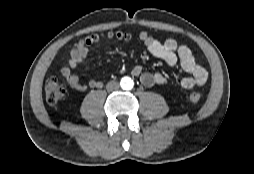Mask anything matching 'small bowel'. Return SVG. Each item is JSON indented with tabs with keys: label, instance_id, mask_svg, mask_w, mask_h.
Returning a JSON list of instances; mask_svg holds the SVG:
<instances>
[{
	"label": "small bowel",
	"instance_id": "1",
	"mask_svg": "<svg viewBox=\"0 0 254 174\" xmlns=\"http://www.w3.org/2000/svg\"><path fill=\"white\" fill-rule=\"evenodd\" d=\"M139 39L146 46L148 51L156 58H159L169 66L179 63L181 69L187 74L179 81V85L183 89H192L206 84L208 81L207 70L195 59L191 50L186 45H180L174 39H167L161 42L146 31L139 33ZM81 40L78 44L81 45ZM88 56L87 48L80 46L71 50L68 58L67 66L61 69L62 75L67 79L70 86L74 89L84 91L87 88H101L103 83L100 80H89L86 84H82L79 77L74 73L73 69L82 64ZM132 74L138 77L145 87L161 85L167 82L165 75L159 72H147L140 66L132 69Z\"/></svg>",
	"mask_w": 254,
	"mask_h": 174
}]
</instances>
